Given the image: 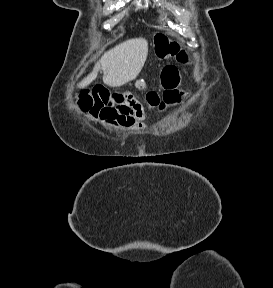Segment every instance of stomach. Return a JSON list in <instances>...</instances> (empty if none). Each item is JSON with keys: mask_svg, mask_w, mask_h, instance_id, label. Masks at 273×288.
Segmentation results:
<instances>
[{"mask_svg": "<svg viewBox=\"0 0 273 288\" xmlns=\"http://www.w3.org/2000/svg\"><path fill=\"white\" fill-rule=\"evenodd\" d=\"M172 44L173 41L169 39V37H167L166 35L164 34L156 35L154 42L155 56L160 60H164L174 55Z\"/></svg>", "mask_w": 273, "mask_h": 288, "instance_id": "stomach-1", "label": "stomach"}]
</instances>
